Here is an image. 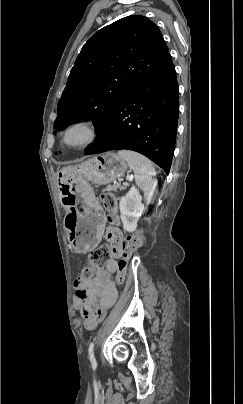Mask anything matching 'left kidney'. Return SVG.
Segmentation results:
<instances>
[{
	"label": "left kidney",
	"instance_id": "5707ae66",
	"mask_svg": "<svg viewBox=\"0 0 243 404\" xmlns=\"http://www.w3.org/2000/svg\"><path fill=\"white\" fill-rule=\"evenodd\" d=\"M120 218L126 232H135L137 222L141 218L144 210L142 196L137 188L133 186L126 196H123L119 202Z\"/></svg>",
	"mask_w": 243,
	"mask_h": 404
}]
</instances>
